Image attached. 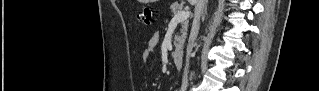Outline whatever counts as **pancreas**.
<instances>
[{
  "instance_id": "pancreas-1",
  "label": "pancreas",
  "mask_w": 319,
  "mask_h": 91,
  "mask_svg": "<svg viewBox=\"0 0 319 91\" xmlns=\"http://www.w3.org/2000/svg\"><path fill=\"white\" fill-rule=\"evenodd\" d=\"M182 8H183V5L174 3L171 6V12L173 15H175L176 13L180 12ZM187 31H188V22L185 23L183 29L181 30V35L175 37L174 45L176 47V51L173 52V55H176L179 51H182L183 45L186 39Z\"/></svg>"
}]
</instances>
